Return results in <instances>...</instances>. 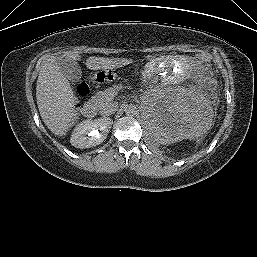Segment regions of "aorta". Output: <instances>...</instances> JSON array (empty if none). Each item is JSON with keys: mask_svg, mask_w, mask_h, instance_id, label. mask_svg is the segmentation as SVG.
I'll return each mask as SVG.
<instances>
[{"mask_svg": "<svg viewBox=\"0 0 257 257\" xmlns=\"http://www.w3.org/2000/svg\"><path fill=\"white\" fill-rule=\"evenodd\" d=\"M124 111L125 114L130 117L136 116L138 114V108L133 104L126 105Z\"/></svg>", "mask_w": 257, "mask_h": 257, "instance_id": "1", "label": "aorta"}]
</instances>
